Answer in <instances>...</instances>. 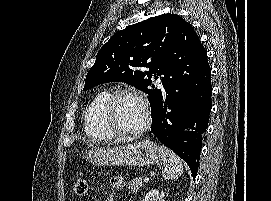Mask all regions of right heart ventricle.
Listing matches in <instances>:
<instances>
[{"label": "right heart ventricle", "instance_id": "e07e8e85", "mask_svg": "<svg viewBox=\"0 0 271 201\" xmlns=\"http://www.w3.org/2000/svg\"><path fill=\"white\" fill-rule=\"evenodd\" d=\"M110 92H99L89 103L84 112V128L88 136L96 139L109 140L117 135L111 130L104 119L103 108Z\"/></svg>", "mask_w": 271, "mask_h": 201}]
</instances>
